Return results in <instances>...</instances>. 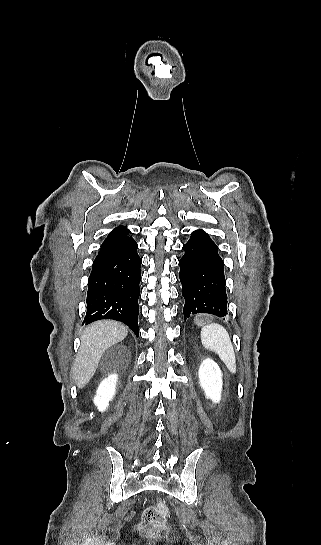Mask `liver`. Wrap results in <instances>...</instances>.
<instances>
[{
  "label": "liver",
  "instance_id": "liver-1",
  "mask_svg": "<svg viewBox=\"0 0 321 545\" xmlns=\"http://www.w3.org/2000/svg\"><path fill=\"white\" fill-rule=\"evenodd\" d=\"M127 335V327L116 321H96L85 329L73 365L72 379L78 389H83L92 379L103 353Z\"/></svg>",
  "mask_w": 321,
  "mask_h": 545
}]
</instances>
